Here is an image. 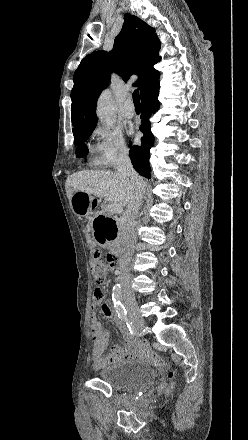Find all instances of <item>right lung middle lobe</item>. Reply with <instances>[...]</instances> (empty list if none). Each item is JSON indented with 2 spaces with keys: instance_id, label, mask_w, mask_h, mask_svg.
Instances as JSON below:
<instances>
[{
  "instance_id": "obj_1",
  "label": "right lung middle lobe",
  "mask_w": 248,
  "mask_h": 440,
  "mask_svg": "<svg viewBox=\"0 0 248 440\" xmlns=\"http://www.w3.org/2000/svg\"><path fill=\"white\" fill-rule=\"evenodd\" d=\"M93 130L84 131L74 135V144L77 146L76 155L77 157H83L88 153L84 142L92 134Z\"/></svg>"
}]
</instances>
